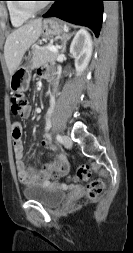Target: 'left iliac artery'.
Masks as SVG:
<instances>
[{
	"label": "left iliac artery",
	"mask_w": 133,
	"mask_h": 253,
	"mask_svg": "<svg viewBox=\"0 0 133 253\" xmlns=\"http://www.w3.org/2000/svg\"><path fill=\"white\" fill-rule=\"evenodd\" d=\"M56 139H57L58 142H61V141H62L61 135H60V134H57V135H56Z\"/></svg>",
	"instance_id": "obj_1"
}]
</instances>
